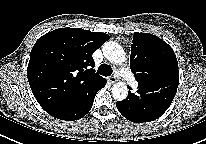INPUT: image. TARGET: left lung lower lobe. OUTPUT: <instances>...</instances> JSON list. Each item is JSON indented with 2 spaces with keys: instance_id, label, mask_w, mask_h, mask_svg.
Returning <instances> with one entry per match:
<instances>
[{
  "instance_id": "obj_1",
  "label": "left lung lower lobe",
  "mask_w": 206,
  "mask_h": 144,
  "mask_svg": "<svg viewBox=\"0 0 206 144\" xmlns=\"http://www.w3.org/2000/svg\"><path fill=\"white\" fill-rule=\"evenodd\" d=\"M145 89L139 87L136 94L129 91L127 99L116 102L117 109L126 119L135 123L151 122L162 116L170 106L169 98L150 97Z\"/></svg>"
}]
</instances>
